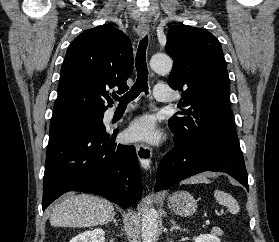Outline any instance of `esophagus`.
Masks as SVG:
<instances>
[{"mask_svg": "<svg viewBox=\"0 0 279 242\" xmlns=\"http://www.w3.org/2000/svg\"><path fill=\"white\" fill-rule=\"evenodd\" d=\"M138 34L140 37H144L149 31V24L147 21H140L138 24ZM136 152L137 157L140 162V165L145 169L148 170L150 168L151 159H152V152L151 148L144 144L138 143L136 145Z\"/></svg>", "mask_w": 279, "mask_h": 242, "instance_id": "obj_1", "label": "esophagus"}]
</instances>
